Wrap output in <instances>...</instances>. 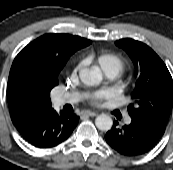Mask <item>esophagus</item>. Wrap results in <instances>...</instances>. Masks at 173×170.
<instances>
[{
	"mask_svg": "<svg viewBox=\"0 0 173 170\" xmlns=\"http://www.w3.org/2000/svg\"><path fill=\"white\" fill-rule=\"evenodd\" d=\"M84 114H85V115H88V116H91V117H94V116L97 115L96 112H94V111H89V110H88V111H85Z\"/></svg>",
	"mask_w": 173,
	"mask_h": 170,
	"instance_id": "34e87169",
	"label": "esophagus"
}]
</instances>
